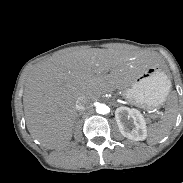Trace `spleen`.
Listing matches in <instances>:
<instances>
[{"label":"spleen","instance_id":"1","mask_svg":"<svg viewBox=\"0 0 183 183\" xmlns=\"http://www.w3.org/2000/svg\"><path fill=\"white\" fill-rule=\"evenodd\" d=\"M147 88L145 81H139L134 89L145 91ZM177 116V98L172 96L169 99V106L166 108L164 115L158 123L149 126L147 143L155 145L165 138L173 128Z\"/></svg>","mask_w":183,"mask_h":183}]
</instances>
